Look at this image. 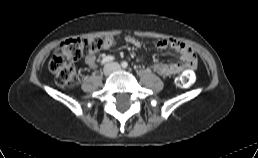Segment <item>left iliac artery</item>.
Returning <instances> with one entry per match:
<instances>
[{
    "instance_id": "obj_1",
    "label": "left iliac artery",
    "mask_w": 258,
    "mask_h": 158,
    "mask_svg": "<svg viewBox=\"0 0 258 158\" xmlns=\"http://www.w3.org/2000/svg\"><path fill=\"white\" fill-rule=\"evenodd\" d=\"M121 65H122L123 68H127L128 63H127L126 61H123V62L121 63Z\"/></svg>"
}]
</instances>
